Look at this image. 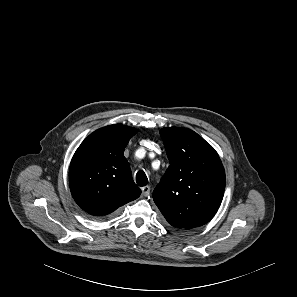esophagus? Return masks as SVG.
<instances>
[{"instance_id": "34e87169", "label": "esophagus", "mask_w": 297, "mask_h": 297, "mask_svg": "<svg viewBox=\"0 0 297 297\" xmlns=\"http://www.w3.org/2000/svg\"><path fill=\"white\" fill-rule=\"evenodd\" d=\"M142 196L147 197L150 194V186H143L141 188Z\"/></svg>"}]
</instances>
